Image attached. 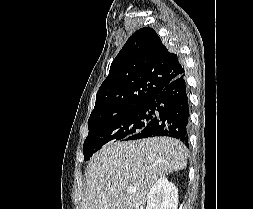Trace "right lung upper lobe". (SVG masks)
I'll list each match as a JSON object with an SVG mask.
<instances>
[{
  "instance_id": "cb5924a9",
  "label": "right lung upper lobe",
  "mask_w": 253,
  "mask_h": 209,
  "mask_svg": "<svg viewBox=\"0 0 253 209\" xmlns=\"http://www.w3.org/2000/svg\"><path fill=\"white\" fill-rule=\"evenodd\" d=\"M184 72L179 57L168 51L152 28L139 29L113 60L89 120L150 104Z\"/></svg>"
}]
</instances>
